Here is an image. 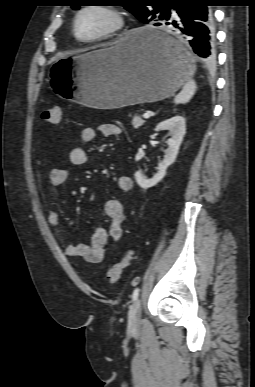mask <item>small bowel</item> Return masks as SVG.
<instances>
[{"label":"small bowel","instance_id":"c3829d8e","mask_svg":"<svg viewBox=\"0 0 255 387\" xmlns=\"http://www.w3.org/2000/svg\"><path fill=\"white\" fill-rule=\"evenodd\" d=\"M122 133L120 126L114 123H104L97 128L86 127L82 129L79 145L73 147L68 154V164L57 163L49 172V182L53 187H59L67 182L70 176V166H81L87 162V152L84 145L93 142L97 135L103 137L119 136ZM118 189L128 192L132 189L133 182L129 176H120L117 180ZM102 214L108 222V228L98 225L88 243L68 245L65 253L90 264H99L104 260L107 250L118 242L123 234L125 212L123 204L117 199L105 201L101 207ZM48 223L52 227L59 224V213L51 210L48 213Z\"/></svg>","mask_w":255,"mask_h":387}]
</instances>
